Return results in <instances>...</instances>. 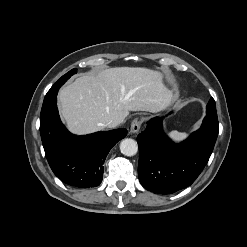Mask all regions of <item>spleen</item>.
I'll return each instance as SVG.
<instances>
[{
    "instance_id": "3e777b00",
    "label": "spleen",
    "mask_w": 247,
    "mask_h": 247,
    "mask_svg": "<svg viewBox=\"0 0 247 247\" xmlns=\"http://www.w3.org/2000/svg\"><path fill=\"white\" fill-rule=\"evenodd\" d=\"M169 136L174 142H180L187 137V133H185V132L182 133V132H178V131H171L169 133Z\"/></svg>"
}]
</instances>
